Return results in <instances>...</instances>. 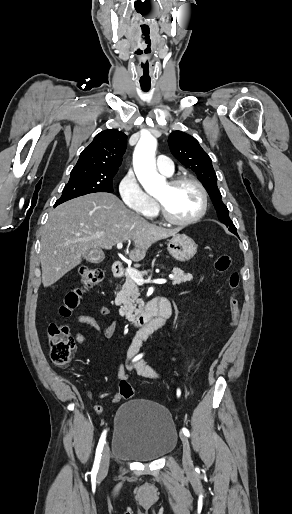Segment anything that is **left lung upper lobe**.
Listing matches in <instances>:
<instances>
[{"label":"left lung upper lobe","instance_id":"left-lung-upper-lobe-1","mask_svg":"<svg viewBox=\"0 0 292 514\" xmlns=\"http://www.w3.org/2000/svg\"><path fill=\"white\" fill-rule=\"evenodd\" d=\"M168 144L173 156L186 168L195 172L211 197L219 220L229 228L230 232L238 235L236 227L229 217V211L221 200V193L217 187L216 173L209 155L202 149L194 137L182 131L172 132L169 135Z\"/></svg>","mask_w":292,"mask_h":514}]
</instances>
